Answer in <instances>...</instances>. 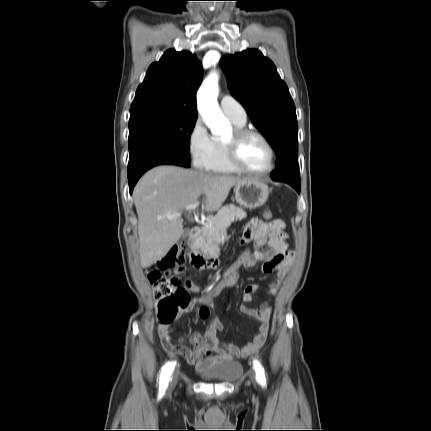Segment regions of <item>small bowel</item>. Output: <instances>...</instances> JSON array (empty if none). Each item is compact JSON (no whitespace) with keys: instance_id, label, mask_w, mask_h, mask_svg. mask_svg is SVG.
<instances>
[{"instance_id":"small-bowel-1","label":"small bowel","mask_w":431,"mask_h":431,"mask_svg":"<svg viewBox=\"0 0 431 431\" xmlns=\"http://www.w3.org/2000/svg\"><path fill=\"white\" fill-rule=\"evenodd\" d=\"M284 228L285 224L280 219L263 221L255 218L248 222L242 234L241 243L252 244L250 256L243 260V269L261 263V269L264 274L276 275V279L266 287V292L270 295L277 293L279 285L292 262V253L288 247L287 234ZM265 247L266 249H264ZM225 271H228V268H225ZM234 276L239 280L240 273H234ZM185 285L192 292L198 293L202 291V287L190 279L185 281ZM258 288L257 284H248L243 290L242 300L244 304L241 305L240 310L242 313L254 318L258 323L257 333L245 346L239 347L219 339L218 332L222 331L224 326L217 317L210 315V309L213 306L211 304L209 308L206 305L200 308V310L205 309L211 319L204 335L194 333L189 337L192 347L184 345L187 339L185 335L180 336L176 341L172 338L170 324H160L158 326V335L164 350L170 355L179 354L184 356L188 363L195 366L197 370H205L230 362L235 357L246 358L257 353L267 338L271 314V308L267 304H263L259 308H250L245 305L253 299ZM204 295H206V292L202 293L201 296ZM196 299L197 297L190 302H194ZM213 353H216V355H213Z\"/></svg>"}]
</instances>
